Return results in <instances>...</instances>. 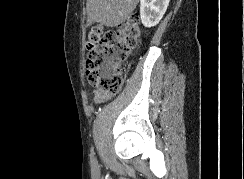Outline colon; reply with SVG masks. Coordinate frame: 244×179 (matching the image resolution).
Instances as JSON below:
<instances>
[{
	"label": "colon",
	"instance_id": "1",
	"mask_svg": "<svg viewBox=\"0 0 244 179\" xmlns=\"http://www.w3.org/2000/svg\"><path fill=\"white\" fill-rule=\"evenodd\" d=\"M142 29L129 19L112 30L102 26L89 30L86 39V75L101 93L116 94L122 84L119 66L141 45Z\"/></svg>",
	"mask_w": 244,
	"mask_h": 179
}]
</instances>
